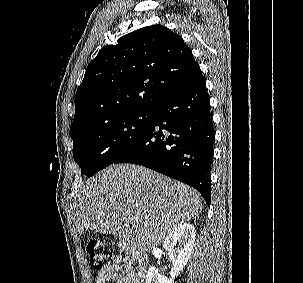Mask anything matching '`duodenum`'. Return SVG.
<instances>
[{
	"label": "duodenum",
	"instance_id": "duodenum-1",
	"mask_svg": "<svg viewBox=\"0 0 303 283\" xmlns=\"http://www.w3.org/2000/svg\"><path fill=\"white\" fill-rule=\"evenodd\" d=\"M124 248L128 249L129 251H132V249H130V247L127 244H124ZM133 256L137 262V266H138V270L139 272L145 276L147 267H148V258L147 256L140 252V251H136L133 252Z\"/></svg>",
	"mask_w": 303,
	"mask_h": 283
}]
</instances>
